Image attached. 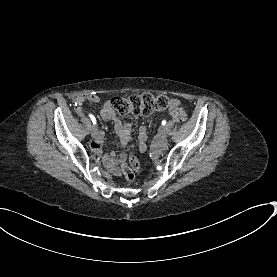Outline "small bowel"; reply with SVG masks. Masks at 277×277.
<instances>
[{
	"instance_id": "small-bowel-1",
	"label": "small bowel",
	"mask_w": 277,
	"mask_h": 277,
	"mask_svg": "<svg viewBox=\"0 0 277 277\" xmlns=\"http://www.w3.org/2000/svg\"><path fill=\"white\" fill-rule=\"evenodd\" d=\"M80 99L81 100H92V101H97V97L96 96H91L90 98V94L89 93H81L80 94ZM79 99V97L77 98V101L83 102ZM179 107V101L175 98L171 99L169 102V113L171 115H174V113L177 111ZM75 112L82 117L85 120H88V117L84 114L83 109L81 107L80 104H77L75 106ZM100 116L108 121H111L113 123L115 132L117 134V136L119 137L121 143L123 145H126L130 139V133H131V124L129 122H124L121 120V118L118 116V114L116 113L115 109L113 108L112 102L111 101H106L100 111ZM104 138V135H98L97 136V142H100V140ZM138 142H139V147L140 150L142 152H144L146 150V142H147V129L145 126H141L139 129V134H138ZM96 141H93L91 143V148L94 150L95 153L97 154H101V150L100 147L98 145ZM115 161L118 164H122L125 161L124 156H122L119 153H115L113 154V156H106L103 159V162L106 166V168H108L110 170V172L115 173L117 172V174H119L118 167L117 165L114 164Z\"/></svg>"
}]
</instances>
